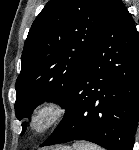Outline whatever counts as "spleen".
<instances>
[{
  "mask_svg": "<svg viewBox=\"0 0 139 150\" xmlns=\"http://www.w3.org/2000/svg\"><path fill=\"white\" fill-rule=\"evenodd\" d=\"M74 150H103L101 147L87 142L77 143L73 146Z\"/></svg>",
  "mask_w": 139,
  "mask_h": 150,
  "instance_id": "1",
  "label": "spleen"
}]
</instances>
